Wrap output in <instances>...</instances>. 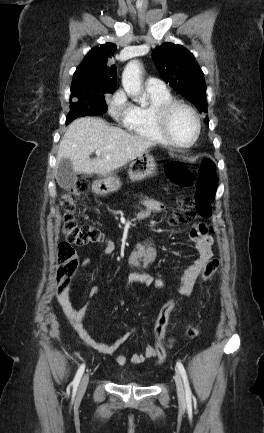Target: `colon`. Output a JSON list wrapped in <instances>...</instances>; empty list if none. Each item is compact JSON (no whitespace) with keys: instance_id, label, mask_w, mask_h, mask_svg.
<instances>
[{"instance_id":"colon-1","label":"colon","mask_w":264,"mask_h":433,"mask_svg":"<svg viewBox=\"0 0 264 433\" xmlns=\"http://www.w3.org/2000/svg\"><path fill=\"white\" fill-rule=\"evenodd\" d=\"M168 179L179 187H195L191 197H183L179 208L172 215V224H189L197 217H209L212 213V199L215 191V169L210 159H203L196 168L185 164L171 162L166 166ZM88 191L86 180H79L62 198L64 217L62 230L66 240L59 245L57 257L58 292H62L74 276L78 267V254L73 245L86 246L110 241L103 232L92 225L80 224L75 216L76 202ZM219 268L217 258L210 259L203 271L202 280L209 279ZM174 301L170 299L160 309L154 327V345L157 348V363H162L166 350L162 343ZM200 331L197 326L190 325L186 329L189 338H195Z\"/></svg>"}]
</instances>
